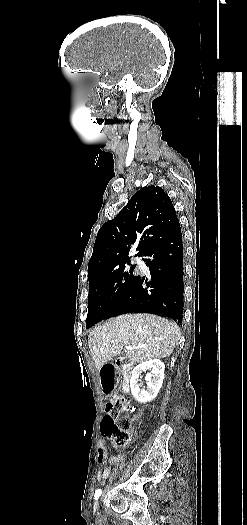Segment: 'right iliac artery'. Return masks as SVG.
Wrapping results in <instances>:
<instances>
[{"label": "right iliac artery", "mask_w": 247, "mask_h": 525, "mask_svg": "<svg viewBox=\"0 0 247 525\" xmlns=\"http://www.w3.org/2000/svg\"><path fill=\"white\" fill-rule=\"evenodd\" d=\"M101 493H102L101 489L96 490L95 495H94L96 500L100 497Z\"/></svg>", "instance_id": "right-iliac-artery-1"}]
</instances>
